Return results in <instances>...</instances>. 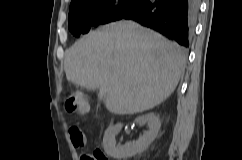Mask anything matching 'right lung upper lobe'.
I'll return each mask as SVG.
<instances>
[{"label":"right lung upper lobe","instance_id":"1","mask_svg":"<svg viewBox=\"0 0 242 160\" xmlns=\"http://www.w3.org/2000/svg\"><path fill=\"white\" fill-rule=\"evenodd\" d=\"M81 1H83V0H71V5L77 4V3L81 2Z\"/></svg>","mask_w":242,"mask_h":160}]
</instances>
